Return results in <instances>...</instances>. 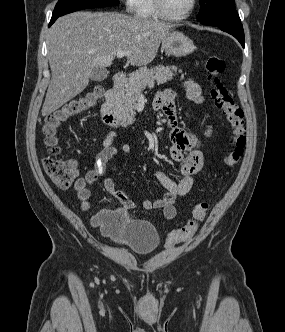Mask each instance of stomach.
<instances>
[{"instance_id": "obj_1", "label": "stomach", "mask_w": 285, "mask_h": 332, "mask_svg": "<svg viewBox=\"0 0 285 332\" xmlns=\"http://www.w3.org/2000/svg\"><path fill=\"white\" fill-rule=\"evenodd\" d=\"M162 48L169 55L176 57L187 56L195 49L193 42L181 32L170 31L162 41Z\"/></svg>"}]
</instances>
